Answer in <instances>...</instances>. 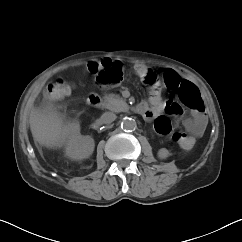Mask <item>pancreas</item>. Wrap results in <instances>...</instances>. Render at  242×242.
<instances>
[{
    "mask_svg": "<svg viewBox=\"0 0 242 242\" xmlns=\"http://www.w3.org/2000/svg\"><path fill=\"white\" fill-rule=\"evenodd\" d=\"M104 106L113 112H121L128 109V105L125 100L119 95L115 94L104 96Z\"/></svg>",
    "mask_w": 242,
    "mask_h": 242,
    "instance_id": "1",
    "label": "pancreas"
}]
</instances>
